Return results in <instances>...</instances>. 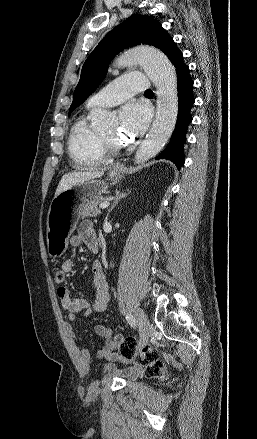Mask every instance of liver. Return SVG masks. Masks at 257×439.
<instances>
[{"label": "liver", "mask_w": 257, "mask_h": 439, "mask_svg": "<svg viewBox=\"0 0 257 439\" xmlns=\"http://www.w3.org/2000/svg\"><path fill=\"white\" fill-rule=\"evenodd\" d=\"M103 174H104V169L93 170V171L69 172L61 178L59 185L56 189L55 196H57L58 194H60L61 192L68 189L70 186L74 184L99 178L103 176Z\"/></svg>", "instance_id": "6515ba94"}]
</instances>
